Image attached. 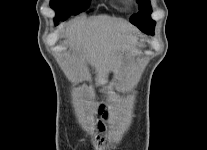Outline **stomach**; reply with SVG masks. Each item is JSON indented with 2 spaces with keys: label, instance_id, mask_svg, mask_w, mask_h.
I'll list each match as a JSON object with an SVG mask.
<instances>
[{
  "label": "stomach",
  "instance_id": "stomach-1",
  "mask_svg": "<svg viewBox=\"0 0 207 150\" xmlns=\"http://www.w3.org/2000/svg\"><path fill=\"white\" fill-rule=\"evenodd\" d=\"M140 41H141V40L138 38V39L136 40V44L139 45V44H140Z\"/></svg>",
  "mask_w": 207,
  "mask_h": 150
}]
</instances>
